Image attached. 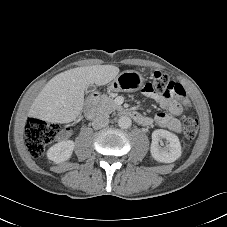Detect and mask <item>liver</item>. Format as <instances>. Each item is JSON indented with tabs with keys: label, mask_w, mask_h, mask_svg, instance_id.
<instances>
[{
	"label": "liver",
	"mask_w": 227,
	"mask_h": 227,
	"mask_svg": "<svg viewBox=\"0 0 227 227\" xmlns=\"http://www.w3.org/2000/svg\"><path fill=\"white\" fill-rule=\"evenodd\" d=\"M119 73L113 65L77 67L53 77L34 100L30 114L51 123H69L80 114L84 91L91 84L103 86Z\"/></svg>",
	"instance_id": "1"
}]
</instances>
